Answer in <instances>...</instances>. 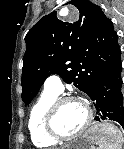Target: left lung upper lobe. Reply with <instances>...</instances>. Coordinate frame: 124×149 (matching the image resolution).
<instances>
[{
	"label": "left lung upper lobe",
	"mask_w": 124,
	"mask_h": 149,
	"mask_svg": "<svg viewBox=\"0 0 124 149\" xmlns=\"http://www.w3.org/2000/svg\"><path fill=\"white\" fill-rule=\"evenodd\" d=\"M69 3L80 12L77 22H62L53 11L25 36L21 83L27 105L51 74L87 93L104 72L121 62L117 33L102 9L87 0Z\"/></svg>",
	"instance_id": "left-lung-upper-lobe-1"
}]
</instances>
